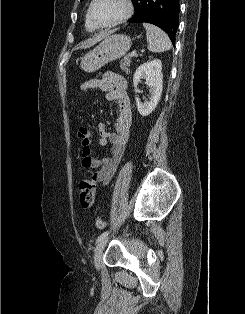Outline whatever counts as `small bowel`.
<instances>
[{"label":"small bowel","instance_id":"obj_1","mask_svg":"<svg viewBox=\"0 0 245 314\" xmlns=\"http://www.w3.org/2000/svg\"><path fill=\"white\" fill-rule=\"evenodd\" d=\"M88 89H100L105 92V98L116 105L117 116L113 122V131L100 123L97 126V138L93 139L92 131L87 127H80L78 137L81 146V166L84 169H97L91 174L95 182L107 185L115 173L118 164L124 154V150L130 135L131 105L127 91L126 81L115 72L104 73L101 79H91L80 86L81 91ZM100 146L110 144V154L99 158L94 156L92 144Z\"/></svg>","mask_w":245,"mask_h":314}]
</instances>
